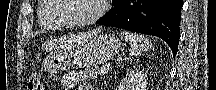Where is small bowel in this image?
Listing matches in <instances>:
<instances>
[{
  "mask_svg": "<svg viewBox=\"0 0 216 90\" xmlns=\"http://www.w3.org/2000/svg\"><path fill=\"white\" fill-rule=\"evenodd\" d=\"M61 83V90H72L75 87H78L79 90H93L92 86L88 82L83 81L79 74L73 70L64 73Z\"/></svg>",
  "mask_w": 216,
  "mask_h": 90,
  "instance_id": "c3829d8e",
  "label": "small bowel"
}]
</instances>
